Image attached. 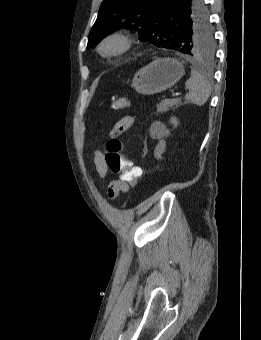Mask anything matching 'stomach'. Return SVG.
<instances>
[{"label": "stomach", "instance_id": "obj_1", "mask_svg": "<svg viewBox=\"0 0 261 340\" xmlns=\"http://www.w3.org/2000/svg\"><path fill=\"white\" fill-rule=\"evenodd\" d=\"M184 73V67L177 59L159 58L140 69L131 86L139 94L153 95L171 88Z\"/></svg>", "mask_w": 261, "mask_h": 340}]
</instances>
